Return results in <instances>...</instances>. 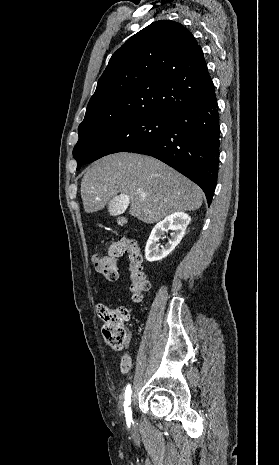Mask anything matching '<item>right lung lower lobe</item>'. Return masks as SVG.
<instances>
[{
  "instance_id": "1",
  "label": "right lung lower lobe",
  "mask_w": 279,
  "mask_h": 465,
  "mask_svg": "<svg viewBox=\"0 0 279 465\" xmlns=\"http://www.w3.org/2000/svg\"><path fill=\"white\" fill-rule=\"evenodd\" d=\"M166 132L131 152L155 157L176 169L204 191L210 205L218 176L220 126L214 86L200 101L170 115Z\"/></svg>"
}]
</instances>
